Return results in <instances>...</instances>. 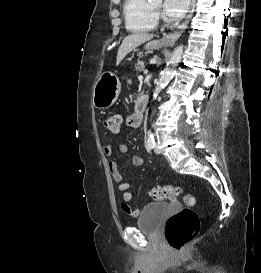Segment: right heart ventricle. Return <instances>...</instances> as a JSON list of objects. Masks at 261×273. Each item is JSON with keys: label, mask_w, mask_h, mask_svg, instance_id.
Listing matches in <instances>:
<instances>
[{"label": "right heart ventricle", "mask_w": 261, "mask_h": 273, "mask_svg": "<svg viewBox=\"0 0 261 273\" xmlns=\"http://www.w3.org/2000/svg\"><path fill=\"white\" fill-rule=\"evenodd\" d=\"M123 15L130 32L146 33L156 28L157 19L149 0H124Z\"/></svg>", "instance_id": "1"}]
</instances>
